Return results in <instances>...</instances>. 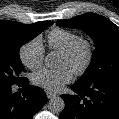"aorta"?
<instances>
[{
    "mask_svg": "<svg viewBox=\"0 0 119 119\" xmlns=\"http://www.w3.org/2000/svg\"><path fill=\"white\" fill-rule=\"evenodd\" d=\"M45 65L49 68L56 66L55 57L52 54H48L45 57ZM65 102L61 97L54 96L49 101V109L54 113H60L64 110Z\"/></svg>",
    "mask_w": 119,
    "mask_h": 119,
    "instance_id": "obj_1",
    "label": "aorta"
}]
</instances>
